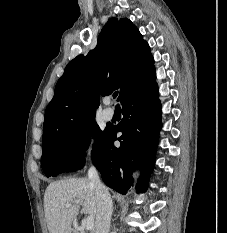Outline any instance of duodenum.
<instances>
[{
  "mask_svg": "<svg viewBox=\"0 0 227 233\" xmlns=\"http://www.w3.org/2000/svg\"><path fill=\"white\" fill-rule=\"evenodd\" d=\"M72 233H79V232H77V231H73Z\"/></svg>",
  "mask_w": 227,
  "mask_h": 233,
  "instance_id": "duodenum-1",
  "label": "duodenum"
}]
</instances>
